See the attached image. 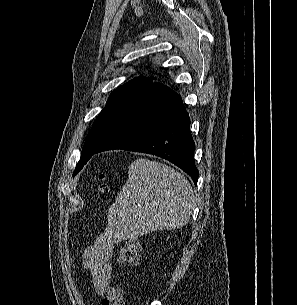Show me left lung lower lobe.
Here are the masks:
<instances>
[{"label": "left lung lower lobe", "mask_w": 297, "mask_h": 305, "mask_svg": "<svg viewBox=\"0 0 297 305\" xmlns=\"http://www.w3.org/2000/svg\"><path fill=\"white\" fill-rule=\"evenodd\" d=\"M115 149L162 157L197 184L189 115L181 97L163 84L151 83L130 102L94 154Z\"/></svg>", "instance_id": "0a47b994"}]
</instances>
